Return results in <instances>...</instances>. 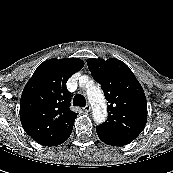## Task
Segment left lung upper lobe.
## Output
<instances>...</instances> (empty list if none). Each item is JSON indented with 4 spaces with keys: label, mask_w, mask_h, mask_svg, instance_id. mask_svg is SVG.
Returning <instances> with one entry per match:
<instances>
[{
    "label": "left lung upper lobe",
    "mask_w": 173,
    "mask_h": 173,
    "mask_svg": "<svg viewBox=\"0 0 173 173\" xmlns=\"http://www.w3.org/2000/svg\"><path fill=\"white\" fill-rule=\"evenodd\" d=\"M93 78L107 100L108 119L99 127L134 140L147 122V102L142 86L130 68L118 59H87Z\"/></svg>",
    "instance_id": "obj_1"
}]
</instances>
